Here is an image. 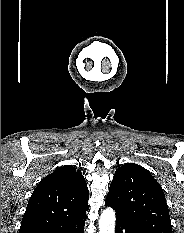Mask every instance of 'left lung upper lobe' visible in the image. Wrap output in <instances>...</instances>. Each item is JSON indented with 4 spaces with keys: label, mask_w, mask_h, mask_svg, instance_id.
I'll list each match as a JSON object with an SVG mask.
<instances>
[{
    "label": "left lung upper lobe",
    "mask_w": 184,
    "mask_h": 233,
    "mask_svg": "<svg viewBox=\"0 0 184 233\" xmlns=\"http://www.w3.org/2000/svg\"><path fill=\"white\" fill-rule=\"evenodd\" d=\"M105 204L141 233H172L160 184L148 170L135 163H126L116 170Z\"/></svg>",
    "instance_id": "5c2ea615"
}]
</instances>
